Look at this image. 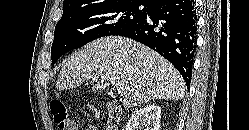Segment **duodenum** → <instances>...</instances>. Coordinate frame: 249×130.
Listing matches in <instances>:
<instances>
[{"label": "duodenum", "mask_w": 249, "mask_h": 130, "mask_svg": "<svg viewBox=\"0 0 249 130\" xmlns=\"http://www.w3.org/2000/svg\"><path fill=\"white\" fill-rule=\"evenodd\" d=\"M108 119L105 130H119V124L121 121L122 111L120 107L113 103L107 105Z\"/></svg>", "instance_id": "duodenum-1"}]
</instances>
